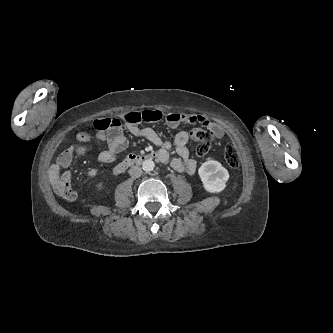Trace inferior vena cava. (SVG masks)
Masks as SVG:
<instances>
[{
	"label": "inferior vena cava",
	"mask_w": 333,
	"mask_h": 333,
	"mask_svg": "<svg viewBox=\"0 0 333 333\" xmlns=\"http://www.w3.org/2000/svg\"><path fill=\"white\" fill-rule=\"evenodd\" d=\"M129 174L133 178H139L142 175V169L139 166H132L129 169Z\"/></svg>",
	"instance_id": "1"
}]
</instances>
